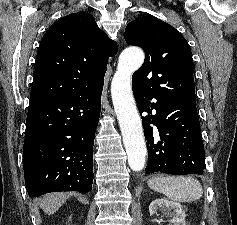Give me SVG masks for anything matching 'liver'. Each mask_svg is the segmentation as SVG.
Masks as SVG:
<instances>
[{
    "label": "liver",
    "mask_w": 237,
    "mask_h": 225,
    "mask_svg": "<svg viewBox=\"0 0 237 225\" xmlns=\"http://www.w3.org/2000/svg\"><path fill=\"white\" fill-rule=\"evenodd\" d=\"M68 198L64 193H52L44 196L40 201V207L47 214L55 213Z\"/></svg>",
    "instance_id": "6515ba94"
}]
</instances>
